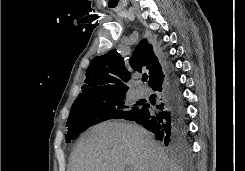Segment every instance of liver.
<instances>
[{
	"label": "liver",
	"instance_id": "obj_1",
	"mask_svg": "<svg viewBox=\"0 0 245 171\" xmlns=\"http://www.w3.org/2000/svg\"><path fill=\"white\" fill-rule=\"evenodd\" d=\"M70 171H182L145 129L103 122L80 139Z\"/></svg>",
	"mask_w": 245,
	"mask_h": 171
}]
</instances>
